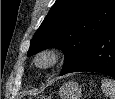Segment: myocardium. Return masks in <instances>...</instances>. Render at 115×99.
Masks as SVG:
<instances>
[{
  "label": "myocardium",
  "instance_id": "myocardium-1",
  "mask_svg": "<svg viewBox=\"0 0 115 99\" xmlns=\"http://www.w3.org/2000/svg\"><path fill=\"white\" fill-rule=\"evenodd\" d=\"M62 51L56 47H47L39 51L34 57V65L40 70H49L59 64Z\"/></svg>",
  "mask_w": 115,
  "mask_h": 99
}]
</instances>
